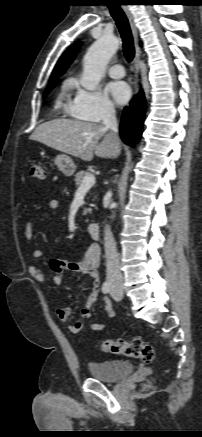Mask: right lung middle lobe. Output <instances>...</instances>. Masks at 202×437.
<instances>
[{
    "mask_svg": "<svg viewBox=\"0 0 202 437\" xmlns=\"http://www.w3.org/2000/svg\"><path fill=\"white\" fill-rule=\"evenodd\" d=\"M57 81H51L48 85V87L46 88L45 92H44V97L54 88V86L57 84Z\"/></svg>",
    "mask_w": 202,
    "mask_h": 437,
    "instance_id": "obj_1",
    "label": "right lung middle lobe"
}]
</instances>
